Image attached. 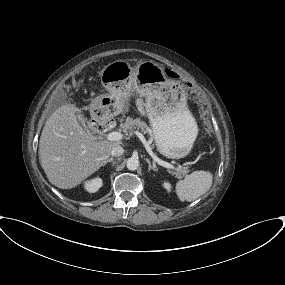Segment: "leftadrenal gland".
Wrapping results in <instances>:
<instances>
[{
  "instance_id": "1",
  "label": "left adrenal gland",
  "mask_w": 285,
  "mask_h": 285,
  "mask_svg": "<svg viewBox=\"0 0 285 285\" xmlns=\"http://www.w3.org/2000/svg\"><path fill=\"white\" fill-rule=\"evenodd\" d=\"M146 162L148 163V170H153V171H157L156 166L152 165L150 160L148 158H146Z\"/></svg>"
}]
</instances>
